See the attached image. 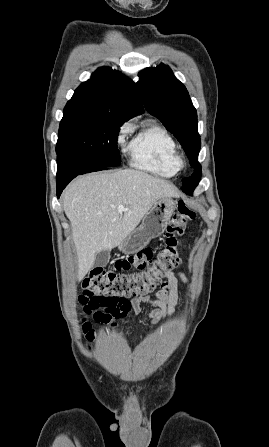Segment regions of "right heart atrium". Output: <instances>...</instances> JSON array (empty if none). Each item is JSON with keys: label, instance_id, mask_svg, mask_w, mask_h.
Masks as SVG:
<instances>
[{"label": "right heart atrium", "instance_id": "obj_1", "mask_svg": "<svg viewBox=\"0 0 269 447\" xmlns=\"http://www.w3.org/2000/svg\"><path fill=\"white\" fill-rule=\"evenodd\" d=\"M130 130H131V125L127 122L123 123L119 127L117 137H116L117 143L119 145H121L125 141V138L128 135V133L130 132Z\"/></svg>", "mask_w": 269, "mask_h": 447}]
</instances>
